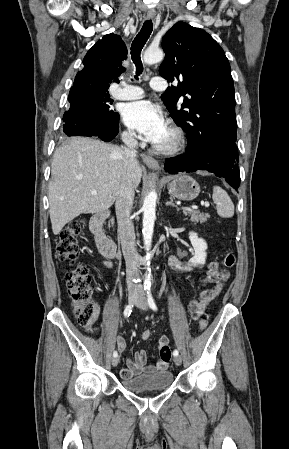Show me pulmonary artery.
<instances>
[{
	"mask_svg": "<svg viewBox=\"0 0 289 449\" xmlns=\"http://www.w3.org/2000/svg\"><path fill=\"white\" fill-rule=\"evenodd\" d=\"M150 86L154 90H164L166 88V81L162 77H154L150 82ZM112 96L118 100L138 99L143 96V90L138 86L122 83L121 87L113 88Z\"/></svg>",
	"mask_w": 289,
	"mask_h": 449,
	"instance_id": "e3ab8cb5",
	"label": "pulmonary artery"
}]
</instances>
